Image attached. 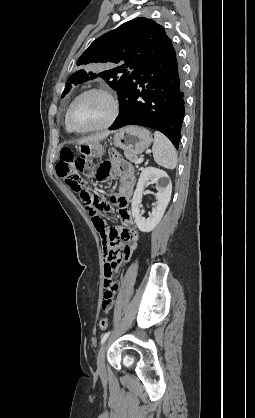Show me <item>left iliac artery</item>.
I'll return each instance as SVG.
<instances>
[{
  "mask_svg": "<svg viewBox=\"0 0 255 418\" xmlns=\"http://www.w3.org/2000/svg\"><path fill=\"white\" fill-rule=\"evenodd\" d=\"M110 333H111V331H108V332H106V333L103 335V337H102V339H101V345H102V344H104V342H105V341L107 340V338L109 337Z\"/></svg>",
  "mask_w": 255,
  "mask_h": 418,
  "instance_id": "left-iliac-artery-1",
  "label": "left iliac artery"
}]
</instances>
